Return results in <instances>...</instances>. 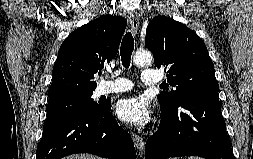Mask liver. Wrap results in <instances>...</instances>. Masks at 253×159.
I'll list each match as a JSON object with an SVG mask.
<instances>
[{
	"label": "liver",
	"instance_id": "liver-1",
	"mask_svg": "<svg viewBox=\"0 0 253 159\" xmlns=\"http://www.w3.org/2000/svg\"><path fill=\"white\" fill-rule=\"evenodd\" d=\"M63 159H102V158L91 155V154H75V155L67 156Z\"/></svg>",
	"mask_w": 253,
	"mask_h": 159
}]
</instances>
